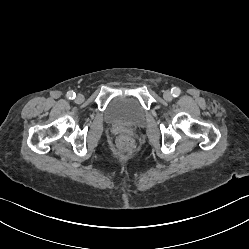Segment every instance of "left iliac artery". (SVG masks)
<instances>
[{
  "mask_svg": "<svg viewBox=\"0 0 249 249\" xmlns=\"http://www.w3.org/2000/svg\"><path fill=\"white\" fill-rule=\"evenodd\" d=\"M171 93L174 97H178L181 93V90L177 87L172 88Z\"/></svg>",
  "mask_w": 249,
  "mask_h": 249,
  "instance_id": "44dca946",
  "label": "left iliac artery"
}]
</instances>
